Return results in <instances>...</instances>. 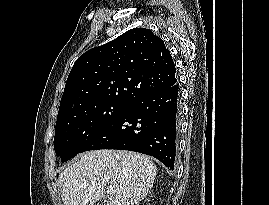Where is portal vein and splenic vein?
<instances>
[{"mask_svg":"<svg viewBox=\"0 0 269 205\" xmlns=\"http://www.w3.org/2000/svg\"><path fill=\"white\" fill-rule=\"evenodd\" d=\"M107 191H108V192H111V189L109 188Z\"/></svg>","mask_w":269,"mask_h":205,"instance_id":"18ae733b","label":"portal vein and splenic vein"}]
</instances>
